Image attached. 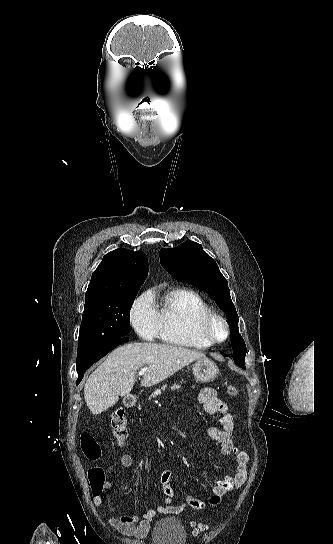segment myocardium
I'll use <instances>...</instances> for the list:
<instances>
[{"label":"myocardium","instance_id":"myocardium-1","mask_svg":"<svg viewBox=\"0 0 333 544\" xmlns=\"http://www.w3.org/2000/svg\"><path fill=\"white\" fill-rule=\"evenodd\" d=\"M220 324L224 329V336L218 338L214 333V326ZM200 336L210 345L221 344L230 336V326L227 319L216 311H210L204 315L199 324Z\"/></svg>","mask_w":333,"mask_h":544}]
</instances>
